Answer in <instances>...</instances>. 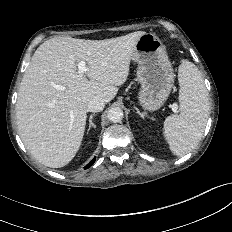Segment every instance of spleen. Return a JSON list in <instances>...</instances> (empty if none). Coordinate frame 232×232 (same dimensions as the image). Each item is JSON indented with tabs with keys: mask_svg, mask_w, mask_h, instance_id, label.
Here are the masks:
<instances>
[{
	"mask_svg": "<svg viewBox=\"0 0 232 232\" xmlns=\"http://www.w3.org/2000/svg\"><path fill=\"white\" fill-rule=\"evenodd\" d=\"M179 115L164 122V136L176 156L189 153L200 141L208 119V95L201 72L188 60L178 69Z\"/></svg>",
	"mask_w": 232,
	"mask_h": 232,
	"instance_id": "spleen-1",
	"label": "spleen"
}]
</instances>
